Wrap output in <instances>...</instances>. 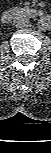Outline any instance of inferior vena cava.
<instances>
[{"mask_svg":"<svg viewBox=\"0 0 51 153\" xmlns=\"http://www.w3.org/2000/svg\"><path fill=\"white\" fill-rule=\"evenodd\" d=\"M12 24L16 28L26 27L29 24V18L25 15H18L14 17Z\"/></svg>","mask_w":51,"mask_h":153,"instance_id":"obj_1","label":"inferior vena cava"}]
</instances>
